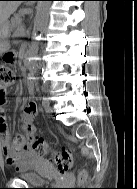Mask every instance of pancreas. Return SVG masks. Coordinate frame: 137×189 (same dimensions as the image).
<instances>
[{
  "label": "pancreas",
  "instance_id": "pancreas-1",
  "mask_svg": "<svg viewBox=\"0 0 137 189\" xmlns=\"http://www.w3.org/2000/svg\"><path fill=\"white\" fill-rule=\"evenodd\" d=\"M22 15H23V14H22V12L20 11V12H18L17 14H14V16H13L12 19H11L13 29H17V32H16L17 35L19 34L18 30H19L20 28H23Z\"/></svg>",
  "mask_w": 137,
  "mask_h": 189
}]
</instances>
